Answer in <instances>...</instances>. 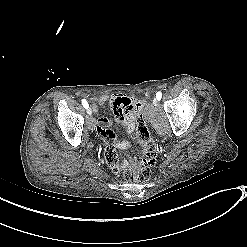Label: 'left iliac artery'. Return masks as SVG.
Listing matches in <instances>:
<instances>
[{"label": "left iliac artery", "instance_id": "left-iliac-artery-1", "mask_svg": "<svg viewBox=\"0 0 247 247\" xmlns=\"http://www.w3.org/2000/svg\"><path fill=\"white\" fill-rule=\"evenodd\" d=\"M161 97H162V93L159 91V92H157V94H156V98L158 99V100H160L161 99Z\"/></svg>", "mask_w": 247, "mask_h": 247}]
</instances>
